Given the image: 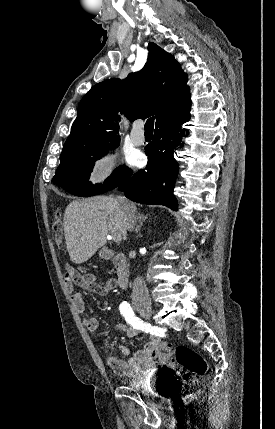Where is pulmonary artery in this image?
<instances>
[{
    "label": "pulmonary artery",
    "mask_w": 275,
    "mask_h": 429,
    "mask_svg": "<svg viewBox=\"0 0 275 429\" xmlns=\"http://www.w3.org/2000/svg\"><path fill=\"white\" fill-rule=\"evenodd\" d=\"M130 137L132 142L136 145H140L144 142L145 135H144V132L141 130L140 122L134 123L133 128L130 132Z\"/></svg>",
    "instance_id": "e3ab8cb5"
}]
</instances>
